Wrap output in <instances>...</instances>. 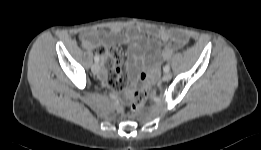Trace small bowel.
Instances as JSON below:
<instances>
[{
    "label": "small bowel",
    "mask_w": 261,
    "mask_h": 150,
    "mask_svg": "<svg viewBox=\"0 0 261 150\" xmlns=\"http://www.w3.org/2000/svg\"><path fill=\"white\" fill-rule=\"evenodd\" d=\"M79 39L83 47L95 49L104 57L105 75L102 73L101 77L105 76L107 85L112 89H120L123 85V77L116 64L117 43L128 46V73L131 81L135 82L141 69L148 70L150 78L155 79L159 72V62L155 57L166 60L187 42V36L181 31L152 26H113L102 39L97 29H86L80 32Z\"/></svg>",
    "instance_id": "obj_1"
}]
</instances>
